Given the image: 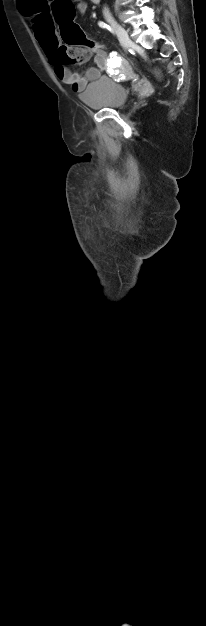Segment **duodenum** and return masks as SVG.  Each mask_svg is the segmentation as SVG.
Segmentation results:
<instances>
[{"instance_id":"obj_1","label":"duodenum","mask_w":206,"mask_h":626,"mask_svg":"<svg viewBox=\"0 0 206 626\" xmlns=\"http://www.w3.org/2000/svg\"><path fill=\"white\" fill-rule=\"evenodd\" d=\"M93 3H99L100 0H91Z\"/></svg>"}]
</instances>
